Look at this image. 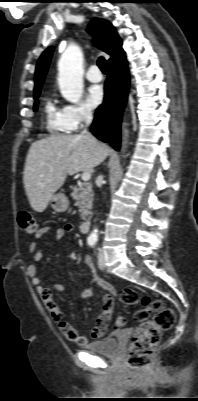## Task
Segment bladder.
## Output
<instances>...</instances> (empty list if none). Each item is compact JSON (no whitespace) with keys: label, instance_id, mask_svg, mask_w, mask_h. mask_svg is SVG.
<instances>
[{"label":"bladder","instance_id":"1","mask_svg":"<svg viewBox=\"0 0 198 401\" xmlns=\"http://www.w3.org/2000/svg\"><path fill=\"white\" fill-rule=\"evenodd\" d=\"M85 348L93 354L109 357H117L120 353V345L115 333L109 334L96 342L89 343Z\"/></svg>","mask_w":198,"mask_h":401}]
</instances>
